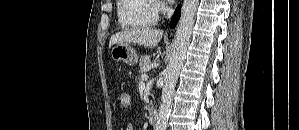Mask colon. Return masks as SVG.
<instances>
[{
	"mask_svg": "<svg viewBox=\"0 0 299 130\" xmlns=\"http://www.w3.org/2000/svg\"><path fill=\"white\" fill-rule=\"evenodd\" d=\"M119 104L123 108H127L131 103V96L127 92H123L119 96Z\"/></svg>",
	"mask_w": 299,
	"mask_h": 130,
	"instance_id": "obj_1",
	"label": "colon"
}]
</instances>
